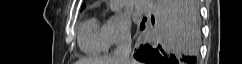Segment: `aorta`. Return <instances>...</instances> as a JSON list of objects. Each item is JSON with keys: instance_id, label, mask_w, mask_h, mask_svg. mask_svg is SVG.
Masks as SVG:
<instances>
[{"instance_id": "aorta-1", "label": "aorta", "mask_w": 242, "mask_h": 64, "mask_svg": "<svg viewBox=\"0 0 242 64\" xmlns=\"http://www.w3.org/2000/svg\"><path fill=\"white\" fill-rule=\"evenodd\" d=\"M110 9L114 13H120L126 4V0H109Z\"/></svg>"}]
</instances>
